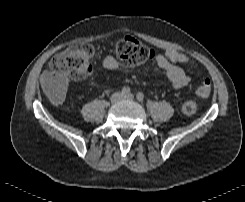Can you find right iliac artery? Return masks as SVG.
Segmentation results:
<instances>
[{
	"label": "right iliac artery",
	"mask_w": 245,
	"mask_h": 202,
	"mask_svg": "<svg viewBox=\"0 0 245 202\" xmlns=\"http://www.w3.org/2000/svg\"><path fill=\"white\" fill-rule=\"evenodd\" d=\"M123 95H129L130 94V88L128 86H124L121 90Z\"/></svg>",
	"instance_id": "82829eb1"
}]
</instances>
